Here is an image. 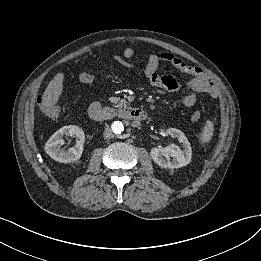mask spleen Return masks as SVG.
Here are the masks:
<instances>
[{
    "instance_id": "3e777b00",
    "label": "spleen",
    "mask_w": 261,
    "mask_h": 261,
    "mask_svg": "<svg viewBox=\"0 0 261 261\" xmlns=\"http://www.w3.org/2000/svg\"><path fill=\"white\" fill-rule=\"evenodd\" d=\"M214 132V124L211 120H207L206 124L201 133V141L202 143H207L211 140Z\"/></svg>"
}]
</instances>
